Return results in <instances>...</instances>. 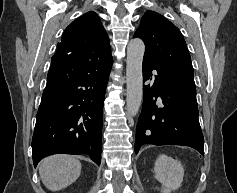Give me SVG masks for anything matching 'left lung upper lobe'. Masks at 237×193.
Instances as JSON below:
<instances>
[{"instance_id": "left-lung-upper-lobe-1", "label": "left lung upper lobe", "mask_w": 237, "mask_h": 193, "mask_svg": "<svg viewBox=\"0 0 237 193\" xmlns=\"http://www.w3.org/2000/svg\"><path fill=\"white\" fill-rule=\"evenodd\" d=\"M134 37L143 39L145 43L144 60L163 70L194 79L191 57L183 35L165 17L147 11Z\"/></svg>"}]
</instances>
